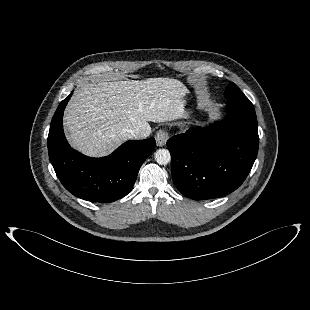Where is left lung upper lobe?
I'll return each mask as SVG.
<instances>
[{
	"mask_svg": "<svg viewBox=\"0 0 310 310\" xmlns=\"http://www.w3.org/2000/svg\"><path fill=\"white\" fill-rule=\"evenodd\" d=\"M225 96L228 99H238V98L244 97L245 95L237 87L236 84H234L233 82H230L229 86L225 90Z\"/></svg>",
	"mask_w": 310,
	"mask_h": 310,
	"instance_id": "left-lung-upper-lobe-1",
	"label": "left lung upper lobe"
}]
</instances>
